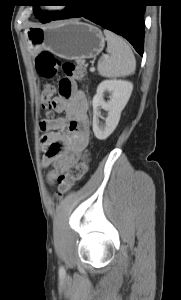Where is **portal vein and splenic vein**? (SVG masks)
Returning <instances> with one entry per match:
<instances>
[{"mask_svg":"<svg viewBox=\"0 0 181 300\" xmlns=\"http://www.w3.org/2000/svg\"><path fill=\"white\" fill-rule=\"evenodd\" d=\"M90 71H91V72H94V71H95V68H94V67H92V68L90 69Z\"/></svg>","mask_w":181,"mask_h":300,"instance_id":"obj_1","label":"portal vein and splenic vein"}]
</instances>
